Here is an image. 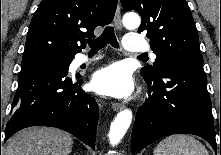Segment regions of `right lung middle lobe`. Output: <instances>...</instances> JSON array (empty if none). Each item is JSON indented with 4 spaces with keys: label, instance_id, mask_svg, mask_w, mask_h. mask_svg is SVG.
I'll list each match as a JSON object with an SVG mask.
<instances>
[{
    "label": "right lung middle lobe",
    "instance_id": "obj_1",
    "mask_svg": "<svg viewBox=\"0 0 221 155\" xmlns=\"http://www.w3.org/2000/svg\"><path fill=\"white\" fill-rule=\"evenodd\" d=\"M39 56H41V55H39ZM45 56H51V57L57 58L59 60L67 62V63H70L73 59V57H63V56L54 55V54H45Z\"/></svg>",
    "mask_w": 221,
    "mask_h": 155
}]
</instances>
